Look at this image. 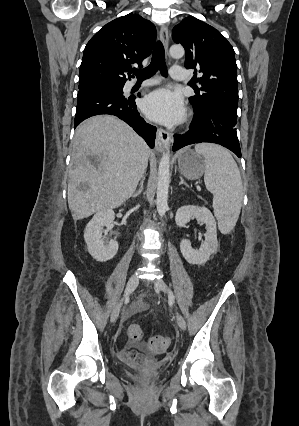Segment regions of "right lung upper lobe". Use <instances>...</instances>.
<instances>
[{"mask_svg":"<svg viewBox=\"0 0 299 426\" xmlns=\"http://www.w3.org/2000/svg\"><path fill=\"white\" fill-rule=\"evenodd\" d=\"M156 38V28L140 15L128 14L101 28L84 49L79 88L125 84L124 73L142 66Z\"/></svg>","mask_w":299,"mask_h":426,"instance_id":"obj_1","label":"right lung upper lobe"}]
</instances>
